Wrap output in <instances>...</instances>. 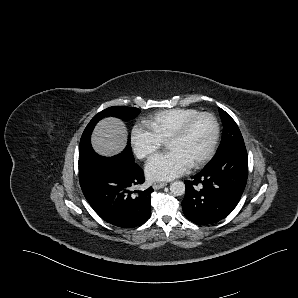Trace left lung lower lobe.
Here are the masks:
<instances>
[{
    "label": "left lung lower lobe",
    "mask_w": 298,
    "mask_h": 298,
    "mask_svg": "<svg viewBox=\"0 0 298 298\" xmlns=\"http://www.w3.org/2000/svg\"><path fill=\"white\" fill-rule=\"evenodd\" d=\"M248 177L244 146L212 159L193 179L186 180L182 209L185 217L199 225L216 223L238 204Z\"/></svg>",
    "instance_id": "0a47b994"
}]
</instances>
